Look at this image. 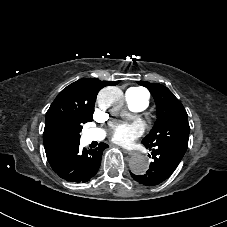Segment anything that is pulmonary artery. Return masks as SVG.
<instances>
[{
  "label": "pulmonary artery",
  "instance_id": "e3ab8cb5",
  "mask_svg": "<svg viewBox=\"0 0 227 227\" xmlns=\"http://www.w3.org/2000/svg\"><path fill=\"white\" fill-rule=\"evenodd\" d=\"M149 96V90L146 87L140 86L127 91L125 93V100L133 109L142 110L147 107ZM104 137V130L99 128L92 129L85 133V138L88 141H101Z\"/></svg>",
  "mask_w": 227,
  "mask_h": 227
}]
</instances>
